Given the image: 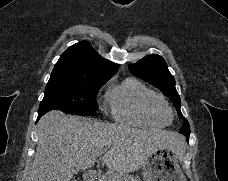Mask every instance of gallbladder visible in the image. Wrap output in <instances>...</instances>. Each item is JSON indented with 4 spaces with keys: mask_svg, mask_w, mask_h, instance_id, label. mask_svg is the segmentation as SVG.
I'll use <instances>...</instances> for the list:
<instances>
[{
    "mask_svg": "<svg viewBox=\"0 0 228 181\" xmlns=\"http://www.w3.org/2000/svg\"><path fill=\"white\" fill-rule=\"evenodd\" d=\"M74 173H78V169H74Z\"/></svg>",
    "mask_w": 228,
    "mask_h": 181,
    "instance_id": "obj_1",
    "label": "gallbladder"
}]
</instances>
